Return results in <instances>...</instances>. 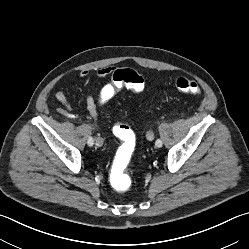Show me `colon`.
<instances>
[{
  "instance_id": "5ec220e1",
  "label": "colon",
  "mask_w": 249,
  "mask_h": 249,
  "mask_svg": "<svg viewBox=\"0 0 249 249\" xmlns=\"http://www.w3.org/2000/svg\"><path fill=\"white\" fill-rule=\"evenodd\" d=\"M111 80L115 90L126 87L139 93L145 88L144 79L132 69L115 70ZM175 86L181 93L198 94L200 92L198 83L187 78L177 79ZM113 131L115 136L121 139L122 145L116 155L115 170L112 174L111 186L115 191L123 192L128 188L126 170L135 151L136 138L133 130L123 123L117 124Z\"/></svg>"
}]
</instances>
